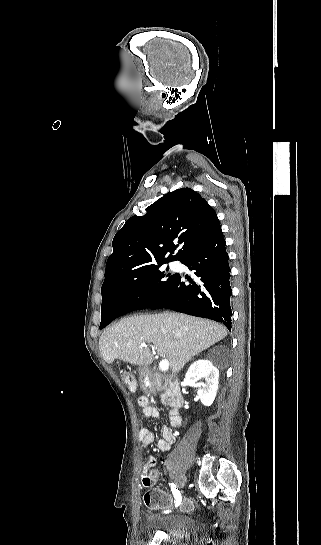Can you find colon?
I'll list each match as a JSON object with an SVG mask.
<instances>
[{"label":"colon","instance_id":"obj_1","mask_svg":"<svg viewBox=\"0 0 321 545\" xmlns=\"http://www.w3.org/2000/svg\"><path fill=\"white\" fill-rule=\"evenodd\" d=\"M119 376L131 391L135 390L136 383L133 375L126 368H120ZM143 485L149 487L152 484V481L148 475L143 476ZM144 503L147 507L154 509L168 510L171 509L175 504V500L167 493L160 490H150L144 495ZM193 508V503L189 499H183L179 503V509L183 511H189Z\"/></svg>","mask_w":321,"mask_h":545}]
</instances>
